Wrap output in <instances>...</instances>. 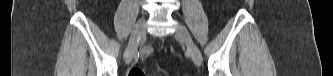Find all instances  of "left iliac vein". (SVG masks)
Returning a JSON list of instances; mask_svg holds the SVG:
<instances>
[{
    "mask_svg": "<svg viewBox=\"0 0 333 76\" xmlns=\"http://www.w3.org/2000/svg\"><path fill=\"white\" fill-rule=\"evenodd\" d=\"M175 36L176 38L185 43L187 51L191 55L192 60L197 66H200L202 64L201 52L199 48L196 46V44L193 42L189 31L183 24L177 23Z\"/></svg>",
    "mask_w": 333,
    "mask_h": 76,
    "instance_id": "left-iliac-vein-1",
    "label": "left iliac vein"
}]
</instances>
